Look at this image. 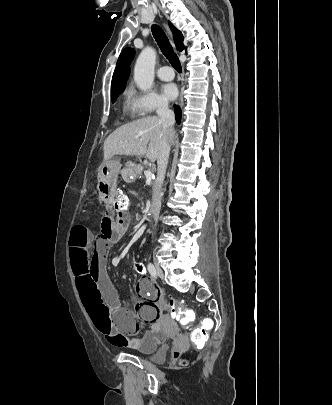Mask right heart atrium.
<instances>
[{
	"label": "right heart atrium",
	"mask_w": 332,
	"mask_h": 405,
	"mask_svg": "<svg viewBox=\"0 0 332 405\" xmlns=\"http://www.w3.org/2000/svg\"><path fill=\"white\" fill-rule=\"evenodd\" d=\"M131 106L138 116H148L167 109V101L154 91L132 92Z\"/></svg>",
	"instance_id": "right-heart-atrium-1"
}]
</instances>
